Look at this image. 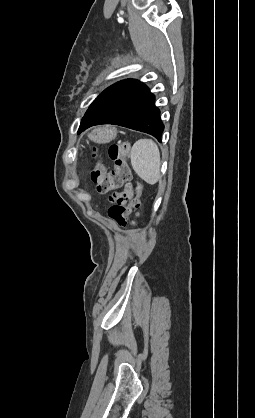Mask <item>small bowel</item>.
<instances>
[{
	"label": "small bowel",
	"instance_id": "obj_1",
	"mask_svg": "<svg viewBox=\"0 0 255 418\" xmlns=\"http://www.w3.org/2000/svg\"><path fill=\"white\" fill-rule=\"evenodd\" d=\"M127 195H131V191H130V188L128 187V190H127V193H126Z\"/></svg>",
	"mask_w": 255,
	"mask_h": 418
}]
</instances>
